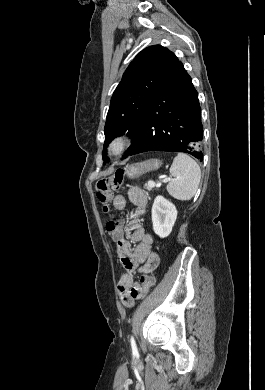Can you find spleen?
<instances>
[{
  "label": "spleen",
  "mask_w": 265,
  "mask_h": 390,
  "mask_svg": "<svg viewBox=\"0 0 265 390\" xmlns=\"http://www.w3.org/2000/svg\"><path fill=\"white\" fill-rule=\"evenodd\" d=\"M170 173L174 177L167 185V191L178 200H190L196 193L201 170L188 155L179 153L173 160Z\"/></svg>",
  "instance_id": "obj_1"
}]
</instances>
